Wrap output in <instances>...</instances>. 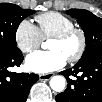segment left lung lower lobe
<instances>
[{
  "mask_svg": "<svg viewBox=\"0 0 102 102\" xmlns=\"http://www.w3.org/2000/svg\"><path fill=\"white\" fill-rule=\"evenodd\" d=\"M60 74L65 76L68 85L56 96L57 102H102V55L80 59L72 69ZM70 75L77 80H71Z\"/></svg>",
  "mask_w": 102,
  "mask_h": 102,
  "instance_id": "0a47b994",
  "label": "left lung lower lobe"
}]
</instances>
